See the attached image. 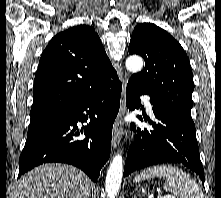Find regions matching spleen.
<instances>
[{"label": "spleen", "mask_w": 221, "mask_h": 198, "mask_svg": "<svg viewBox=\"0 0 221 198\" xmlns=\"http://www.w3.org/2000/svg\"><path fill=\"white\" fill-rule=\"evenodd\" d=\"M166 179L164 190L169 191L177 198H204L199 185L189 174L171 165H158L143 170L136 175L134 182H140L153 178Z\"/></svg>", "instance_id": "3e777b00"}]
</instances>
